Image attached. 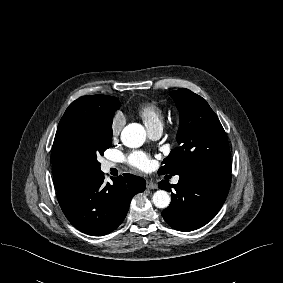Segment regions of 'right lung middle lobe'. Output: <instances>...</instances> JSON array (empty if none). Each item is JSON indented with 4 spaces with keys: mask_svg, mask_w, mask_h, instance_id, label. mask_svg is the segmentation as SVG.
<instances>
[{
    "mask_svg": "<svg viewBox=\"0 0 283 283\" xmlns=\"http://www.w3.org/2000/svg\"><path fill=\"white\" fill-rule=\"evenodd\" d=\"M119 107L114 101L104 109L71 111L60 120L53 155L59 177L77 182L101 170L97 156L111 146L112 117Z\"/></svg>",
    "mask_w": 283,
    "mask_h": 283,
    "instance_id": "obj_1",
    "label": "right lung middle lobe"
}]
</instances>
